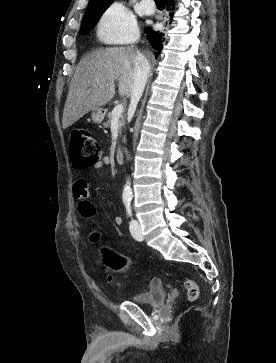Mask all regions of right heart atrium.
<instances>
[{"label":"right heart atrium","instance_id":"d8ad5b80","mask_svg":"<svg viewBox=\"0 0 276 363\" xmlns=\"http://www.w3.org/2000/svg\"><path fill=\"white\" fill-rule=\"evenodd\" d=\"M137 33V24L133 14L120 2L111 4L98 24V35L101 40L106 42H132Z\"/></svg>","mask_w":276,"mask_h":363}]
</instances>
